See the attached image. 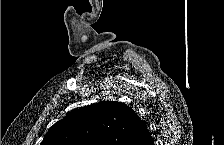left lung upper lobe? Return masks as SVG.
Wrapping results in <instances>:
<instances>
[{"mask_svg": "<svg viewBox=\"0 0 224 145\" xmlns=\"http://www.w3.org/2000/svg\"><path fill=\"white\" fill-rule=\"evenodd\" d=\"M144 126L131 107L103 101L73 110L49 129L40 145H134Z\"/></svg>", "mask_w": 224, "mask_h": 145, "instance_id": "left-lung-upper-lobe-1", "label": "left lung upper lobe"}]
</instances>
